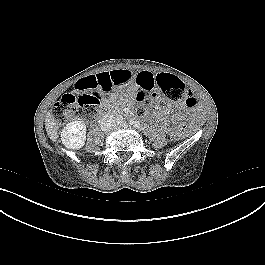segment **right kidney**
I'll return each mask as SVG.
<instances>
[{
	"label": "right kidney",
	"mask_w": 265,
	"mask_h": 265,
	"mask_svg": "<svg viewBox=\"0 0 265 265\" xmlns=\"http://www.w3.org/2000/svg\"><path fill=\"white\" fill-rule=\"evenodd\" d=\"M61 140L68 149L82 148L86 140V125L81 121L68 123L61 132Z\"/></svg>",
	"instance_id": "obj_1"
}]
</instances>
